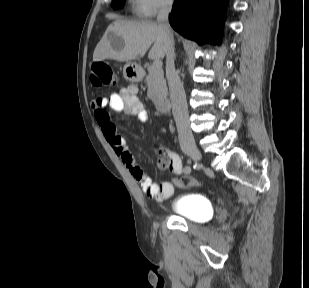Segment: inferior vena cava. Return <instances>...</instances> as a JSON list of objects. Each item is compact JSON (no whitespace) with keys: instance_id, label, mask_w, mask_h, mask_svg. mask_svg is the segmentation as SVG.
<instances>
[{"instance_id":"602c4592","label":"inferior vena cava","mask_w":309,"mask_h":288,"mask_svg":"<svg viewBox=\"0 0 309 288\" xmlns=\"http://www.w3.org/2000/svg\"><path fill=\"white\" fill-rule=\"evenodd\" d=\"M173 0H166L162 5L157 22L163 29L167 42L166 50V78L168 81L170 99L174 120L177 126L180 145L194 144V137L189 129V115L185 91L180 78L175 70V52L173 34L168 22L169 13L171 12Z\"/></svg>"}]
</instances>
